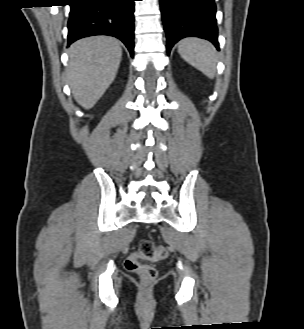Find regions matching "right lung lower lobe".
<instances>
[{
	"mask_svg": "<svg viewBox=\"0 0 304 329\" xmlns=\"http://www.w3.org/2000/svg\"><path fill=\"white\" fill-rule=\"evenodd\" d=\"M68 45L93 35L120 39L134 49V0H69Z\"/></svg>",
	"mask_w": 304,
	"mask_h": 329,
	"instance_id": "98d812e1",
	"label": "right lung lower lobe"
}]
</instances>
